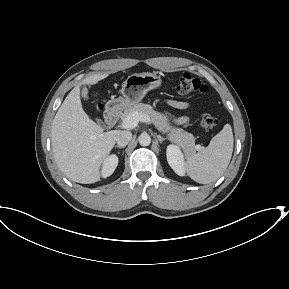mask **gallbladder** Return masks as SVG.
<instances>
[{"label": "gallbladder", "instance_id": "1", "mask_svg": "<svg viewBox=\"0 0 289 289\" xmlns=\"http://www.w3.org/2000/svg\"><path fill=\"white\" fill-rule=\"evenodd\" d=\"M87 94H88L87 88L84 87V88L82 89V97L85 98V99H87V98H88ZM99 123H101V121H99Z\"/></svg>", "mask_w": 289, "mask_h": 289}]
</instances>
